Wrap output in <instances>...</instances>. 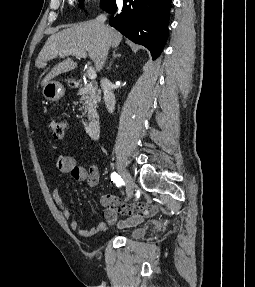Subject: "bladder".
Segmentation results:
<instances>
[{
  "instance_id": "31cf9c89",
  "label": "bladder",
  "mask_w": 255,
  "mask_h": 287,
  "mask_svg": "<svg viewBox=\"0 0 255 287\" xmlns=\"http://www.w3.org/2000/svg\"><path fill=\"white\" fill-rule=\"evenodd\" d=\"M145 230L141 227L131 228L127 231V235L132 238H138L144 235Z\"/></svg>"
}]
</instances>
